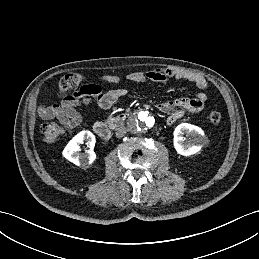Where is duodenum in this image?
I'll return each mask as SVG.
<instances>
[{
  "instance_id": "obj_1",
  "label": "duodenum",
  "mask_w": 259,
  "mask_h": 259,
  "mask_svg": "<svg viewBox=\"0 0 259 259\" xmlns=\"http://www.w3.org/2000/svg\"><path fill=\"white\" fill-rule=\"evenodd\" d=\"M127 120V115L115 117L109 124L104 122H96L94 124L95 133L102 139H109L112 135V130L121 126Z\"/></svg>"
}]
</instances>
